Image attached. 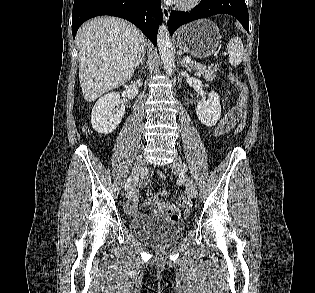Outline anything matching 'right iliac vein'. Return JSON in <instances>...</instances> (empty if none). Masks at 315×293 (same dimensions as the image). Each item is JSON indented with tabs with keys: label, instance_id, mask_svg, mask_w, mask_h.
<instances>
[{
	"label": "right iliac vein",
	"instance_id": "obj_1",
	"mask_svg": "<svg viewBox=\"0 0 315 293\" xmlns=\"http://www.w3.org/2000/svg\"><path fill=\"white\" fill-rule=\"evenodd\" d=\"M144 168V159L143 157L140 155L136 162H135V165H134V168H133V171H132V181L130 183V186H129V190L127 192V198L130 199L133 195V192L135 191L136 189V186H137V181H138V177L139 175L141 174L142 170Z\"/></svg>",
	"mask_w": 315,
	"mask_h": 293
}]
</instances>
